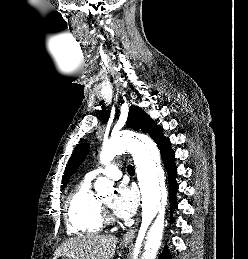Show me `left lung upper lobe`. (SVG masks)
<instances>
[{
  "instance_id": "obj_1",
  "label": "left lung upper lobe",
  "mask_w": 248,
  "mask_h": 259,
  "mask_svg": "<svg viewBox=\"0 0 248 259\" xmlns=\"http://www.w3.org/2000/svg\"><path fill=\"white\" fill-rule=\"evenodd\" d=\"M126 126L136 130L141 129L143 132L149 133L158 146L161 145L164 141L169 140L163 136L161 127H158L156 124H154L152 119L137 106L130 107ZM88 150L89 145L83 144L79 145L78 148L74 151L63 175V187L66 185V182L71 174L85 159Z\"/></svg>"
}]
</instances>
